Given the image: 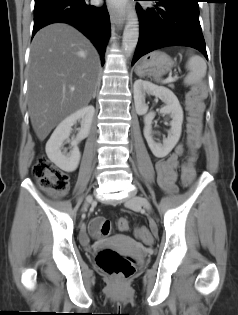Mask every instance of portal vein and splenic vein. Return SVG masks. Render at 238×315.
<instances>
[{
    "instance_id": "portal-vein-and-splenic-vein-1",
    "label": "portal vein and splenic vein",
    "mask_w": 238,
    "mask_h": 315,
    "mask_svg": "<svg viewBox=\"0 0 238 315\" xmlns=\"http://www.w3.org/2000/svg\"><path fill=\"white\" fill-rule=\"evenodd\" d=\"M177 79H178V77H177V76L172 77V76L170 75V76H168V77L166 78L165 82H166V83H169V82L176 81ZM70 90H71V91H74V90H75V88H74V87H72V88H70Z\"/></svg>"
}]
</instances>
